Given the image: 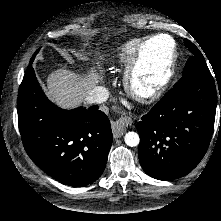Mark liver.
Wrapping results in <instances>:
<instances>
[{
	"mask_svg": "<svg viewBox=\"0 0 221 221\" xmlns=\"http://www.w3.org/2000/svg\"><path fill=\"white\" fill-rule=\"evenodd\" d=\"M100 80L101 75L93 68L85 77L68 69H56L48 75L46 94L61 108L72 109L86 100Z\"/></svg>",
	"mask_w": 221,
	"mask_h": 221,
	"instance_id": "1",
	"label": "liver"
}]
</instances>
